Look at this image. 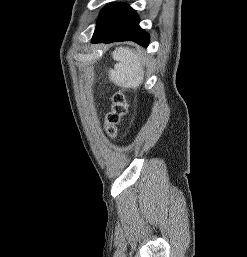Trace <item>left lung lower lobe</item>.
Wrapping results in <instances>:
<instances>
[{
    "label": "left lung lower lobe",
    "instance_id": "left-lung-lower-lobe-1",
    "mask_svg": "<svg viewBox=\"0 0 247 257\" xmlns=\"http://www.w3.org/2000/svg\"><path fill=\"white\" fill-rule=\"evenodd\" d=\"M135 41L147 47L149 35L139 26L137 13L124 3L106 6L99 15L92 43Z\"/></svg>",
    "mask_w": 247,
    "mask_h": 257
}]
</instances>
